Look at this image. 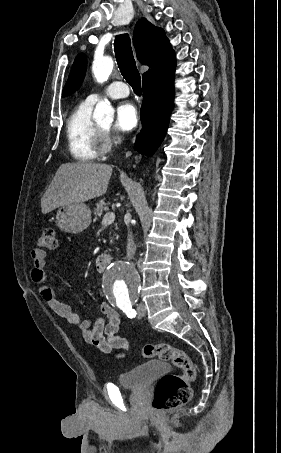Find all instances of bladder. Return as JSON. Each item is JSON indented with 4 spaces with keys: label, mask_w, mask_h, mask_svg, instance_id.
<instances>
[{
    "label": "bladder",
    "mask_w": 281,
    "mask_h": 453,
    "mask_svg": "<svg viewBox=\"0 0 281 453\" xmlns=\"http://www.w3.org/2000/svg\"><path fill=\"white\" fill-rule=\"evenodd\" d=\"M170 366L162 361H152L118 376L120 386L128 389H138L150 383L154 378L169 372Z\"/></svg>",
    "instance_id": "1"
}]
</instances>
